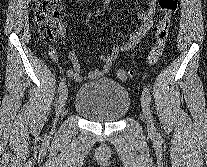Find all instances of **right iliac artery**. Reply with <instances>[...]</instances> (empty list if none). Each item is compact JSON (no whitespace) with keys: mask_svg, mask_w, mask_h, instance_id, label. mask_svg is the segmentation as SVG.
<instances>
[{"mask_svg":"<svg viewBox=\"0 0 207 167\" xmlns=\"http://www.w3.org/2000/svg\"><path fill=\"white\" fill-rule=\"evenodd\" d=\"M66 78H63L59 84L58 92L61 93L65 88Z\"/></svg>","mask_w":207,"mask_h":167,"instance_id":"82829eb1","label":"right iliac artery"}]
</instances>
